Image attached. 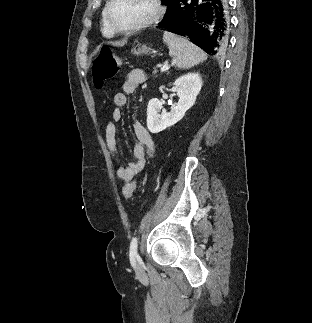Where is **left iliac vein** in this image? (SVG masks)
<instances>
[{
  "instance_id": "1",
  "label": "left iliac vein",
  "mask_w": 312,
  "mask_h": 323,
  "mask_svg": "<svg viewBox=\"0 0 312 323\" xmlns=\"http://www.w3.org/2000/svg\"><path fill=\"white\" fill-rule=\"evenodd\" d=\"M139 268H140V267H139V266H137L136 270H139Z\"/></svg>"
}]
</instances>
